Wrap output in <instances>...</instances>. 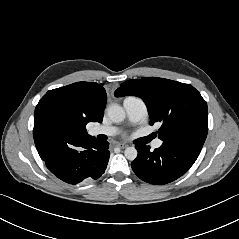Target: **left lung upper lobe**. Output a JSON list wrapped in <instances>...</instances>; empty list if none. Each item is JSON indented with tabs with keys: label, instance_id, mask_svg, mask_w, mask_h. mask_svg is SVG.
<instances>
[{
	"label": "left lung upper lobe",
	"instance_id": "obj_1",
	"mask_svg": "<svg viewBox=\"0 0 239 239\" xmlns=\"http://www.w3.org/2000/svg\"><path fill=\"white\" fill-rule=\"evenodd\" d=\"M116 97L138 96L146 104L150 124L161 122L158 137L199 154L208 132L207 103L190 84L143 77L128 80L115 91Z\"/></svg>",
	"mask_w": 239,
	"mask_h": 239
}]
</instances>
